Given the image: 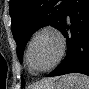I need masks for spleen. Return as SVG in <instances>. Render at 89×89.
<instances>
[{"label":"spleen","instance_id":"1","mask_svg":"<svg viewBox=\"0 0 89 89\" xmlns=\"http://www.w3.org/2000/svg\"><path fill=\"white\" fill-rule=\"evenodd\" d=\"M61 81L68 89H89V78L86 75L73 73L64 75Z\"/></svg>","mask_w":89,"mask_h":89}]
</instances>
